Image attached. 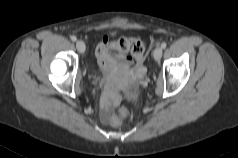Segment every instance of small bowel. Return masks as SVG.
<instances>
[{
  "instance_id": "small-bowel-1",
  "label": "small bowel",
  "mask_w": 238,
  "mask_h": 158,
  "mask_svg": "<svg viewBox=\"0 0 238 158\" xmlns=\"http://www.w3.org/2000/svg\"><path fill=\"white\" fill-rule=\"evenodd\" d=\"M113 41H110L108 37H104L103 41L97 46L96 57L100 68L109 69L117 62L124 65H130L132 63L131 59L124 55L118 53L113 46ZM104 104L108 106L110 104L109 97L104 98Z\"/></svg>"
}]
</instances>
